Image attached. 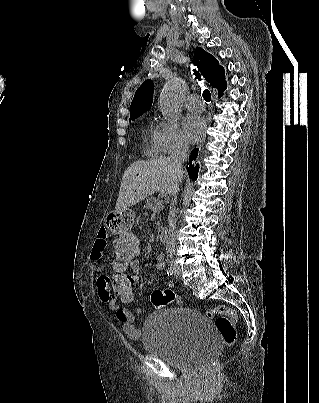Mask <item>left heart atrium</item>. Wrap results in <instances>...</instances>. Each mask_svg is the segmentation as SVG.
Instances as JSON below:
<instances>
[{
    "mask_svg": "<svg viewBox=\"0 0 319 403\" xmlns=\"http://www.w3.org/2000/svg\"><path fill=\"white\" fill-rule=\"evenodd\" d=\"M205 121L204 119L196 114L187 115L183 122V130L186 139L195 143L198 142L205 133Z\"/></svg>",
    "mask_w": 319,
    "mask_h": 403,
    "instance_id": "left-heart-atrium-1",
    "label": "left heart atrium"
}]
</instances>
